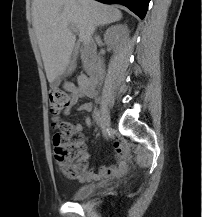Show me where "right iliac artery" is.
I'll use <instances>...</instances> for the list:
<instances>
[{
	"label": "right iliac artery",
	"instance_id": "82829eb1",
	"mask_svg": "<svg viewBox=\"0 0 202 217\" xmlns=\"http://www.w3.org/2000/svg\"><path fill=\"white\" fill-rule=\"evenodd\" d=\"M100 120H101V118H100V111L97 110L96 111V124H97L98 127H100V124H101Z\"/></svg>",
	"mask_w": 202,
	"mask_h": 217
}]
</instances>
